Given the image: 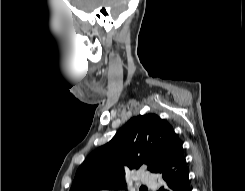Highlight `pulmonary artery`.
Instances as JSON below:
<instances>
[{"mask_svg": "<svg viewBox=\"0 0 245 191\" xmlns=\"http://www.w3.org/2000/svg\"><path fill=\"white\" fill-rule=\"evenodd\" d=\"M138 182L142 185L151 187L153 189L157 188V182L154 175L150 173L142 172L138 175Z\"/></svg>", "mask_w": 245, "mask_h": 191, "instance_id": "obj_1", "label": "pulmonary artery"}]
</instances>
